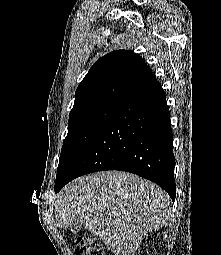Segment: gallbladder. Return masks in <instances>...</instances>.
Returning a JSON list of instances; mask_svg holds the SVG:
<instances>
[{
	"label": "gallbladder",
	"mask_w": 221,
	"mask_h": 255,
	"mask_svg": "<svg viewBox=\"0 0 221 255\" xmlns=\"http://www.w3.org/2000/svg\"><path fill=\"white\" fill-rule=\"evenodd\" d=\"M83 224V220L80 218H76L71 224H70V230L73 233H77L80 231L81 226Z\"/></svg>",
	"instance_id": "1"
}]
</instances>
